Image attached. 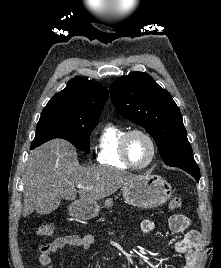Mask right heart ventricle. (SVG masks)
Here are the masks:
<instances>
[{
  "mask_svg": "<svg viewBox=\"0 0 221 268\" xmlns=\"http://www.w3.org/2000/svg\"><path fill=\"white\" fill-rule=\"evenodd\" d=\"M127 130L114 123H108L102 129L96 147L97 161L100 164L127 169L129 166L120 154L121 138Z\"/></svg>",
  "mask_w": 221,
  "mask_h": 268,
  "instance_id": "obj_1",
  "label": "right heart ventricle"
}]
</instances>
